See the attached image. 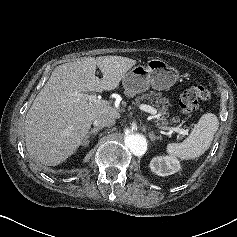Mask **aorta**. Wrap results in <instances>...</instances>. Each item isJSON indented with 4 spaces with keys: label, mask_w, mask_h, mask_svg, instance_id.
Returning a JSON list of instances; mask_svg holds the SVG:
<instances>
[{
    "label": "aorta",
    "mask_w": 237,
    "mask_h": 237,
    "mask_svg": "<svg viewBox=\"0 0 237 237\" xmlns=\"http://www.w3.org/2000/svg\"><path fill=\"white\" fill-rule=\"evenodd\" d=\"M125 145L135 155H142L147 149L146 139L141 134H128L125 137Z\"/></svg>",
    "instance_id": "aorta-1"
}]
</instances>
